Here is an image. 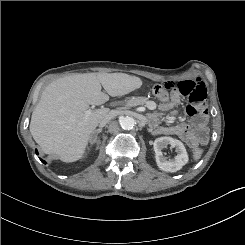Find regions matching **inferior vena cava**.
I'll return each instance as SVG.
<instances>
[{
  "mask_svg": "<svg viewBox=\"0 0 245 245\" xmlns=\"http://www.w3.org/2000/svg\"><path fill=\"white\" fill-rule=\"evenodd\" d=\"M114 113L113 112H109L99 123L100 127L105 126L113 117H114Z\"/></svg>",
  "mask_w": 245,
  "mask_h": 245,
  "instance_id": "obj_1",
  "label": "inferior vena cava"
}]
</instances>
